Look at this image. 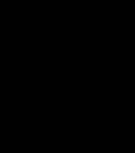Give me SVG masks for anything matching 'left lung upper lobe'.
<instances>
[{"instance_id": "left-lung-upper-lobe-1", "label": "left lung upper lobe", "mask_w": 135, "mask_h": 153, "mask_svg": "<svg viewBox=\"0 0 135 153\" xmlns=\"http://www.w3.org/2000/svg\"><path fill=\"white\" fill-rule=\"evenodd\" d=\"M89 97L92 108L103 117H108L122 102V95L119 89L114 84L103 79L93 82Z\"/></svg>"}]
</instances>
